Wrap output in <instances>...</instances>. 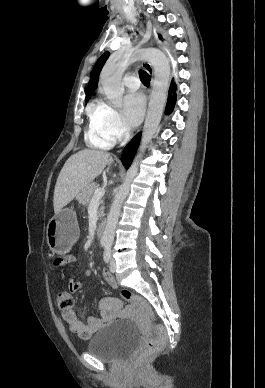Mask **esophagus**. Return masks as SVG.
<instances>
[{
	"instance_id": "34e87169",
	"label": "esophagus",
	"mask_w": 265,
	"mask_h": 388,
	"mask_svg": "<svg viewBox=\"0 0 265 388\" xmlns=\"http://www.w3.org/2000/svg\"><path fill=\"white\" fill-rule=\"evenodd\" d=\"M144 27L141 26L140 27V33L141 34H144ZM152 40L149 42L150 44H152ZM142 67L144 68V70H146V72H148L149 74H152L153 73V68H152V65L149 63V62H143L142 63Z\"/></svg>"
}]
</instances>
